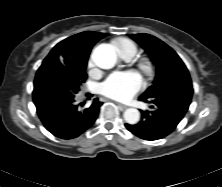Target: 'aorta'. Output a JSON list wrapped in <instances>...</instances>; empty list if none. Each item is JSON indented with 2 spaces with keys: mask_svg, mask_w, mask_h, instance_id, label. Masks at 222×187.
I'll return each instance as SVG.
<instances>
[{
  "mask_svg": "<svg viewBox=\"0 0 222 187\" xmlns=\"http://www.w3.org/2000/svg\"><path fill=\"white\" fill-rule=\"evenodd\" d=\"M92 59L102 69H110L117 62L116 49L107 43L98 45L92 52ZM124 120L130 125L137 124L140 120V112L135 108H128L124 112Z\"/></svg>",
  "mask_w": 222,
  "mask_h": 187,
  "instance_id": "obj_1",
  "label": "aorta"
}]
</instances>
